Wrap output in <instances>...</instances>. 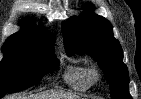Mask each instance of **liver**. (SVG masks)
Wrapping results in <instances>:
<instances>
[{"label":"liver","mask_w":141,"mask_h":99,"mask_svg":"<svg viewBox=\"0 0 141 99\" xmlns=\"http://www.w3.org/2000/svg\"><path fill=\"white\" fill-rule=\"evenodd\" d=\"M10 99H18L12 97ZM24 99H79V97L75 94H70L67 92L57 91V90H46L40 93H37L32 96H28V98Z\"/></svg>","instance_id":"6515ba94"}]
</instances>
